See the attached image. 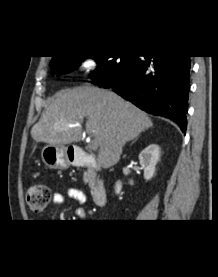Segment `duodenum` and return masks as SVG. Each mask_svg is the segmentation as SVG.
Wrapping results in <instances>:
<instances>
[{
  "mask_svg": "<svg viewBox=\"0 0 218 277\" xmlns=\"http://www.w3.org/2000/svg\"><path fill=\"white\" fill-rule=\"evenodd\" d=\"M68 158L73 165L79 168H87L91 171H93L98 164L96 158L83 150H72L68 153ZM89 188L95 204L103 206L106 203L107 197L103 180L91 177L89 181Z\"/></svg>",
  "mask_w": 218,
  "mask_h": 277,
  "instance_id": "obj_1",
  "label": "duodenum"
}]
</instances>
